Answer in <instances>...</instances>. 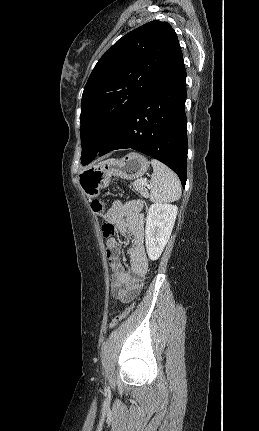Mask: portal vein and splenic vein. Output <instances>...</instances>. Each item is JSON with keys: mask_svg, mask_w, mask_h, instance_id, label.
<instances>
[{"mask_svg": "<svg viewBox=\"0 0 259 431\" xmlns=\"http://www.w3.org/2000/svg\"><path fill=\"white\" fill-rule=\"evenodd\" d=\"M140 184H146V180L140 179L138 180Z\"/></svg>", "mask_w": 259, "mask_h": 431, "instance_id": "1", "label": "portal vein and splenic vein"}]
</instances>
